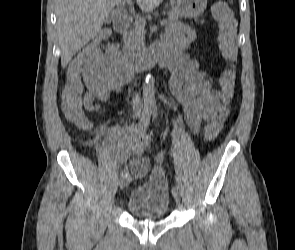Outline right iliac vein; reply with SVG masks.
Returning a JSON list of instances; mask_svg holds the SVG:
<instances>
[{"label":"right iliac vein","instance_id":"obj_1","mask_svg":"<svg viewBox=\"0 0 295 250\" xmlns=\"http://www.w3.org/2000/svg\"><path fill=\"white\" fill-rule=\"evenodd\" d=\"M130 181H131V178L129 175L123 176L119 182L120 189L121 190L125 189L129 185Z\"/></svg>","mask_w":295,"mask_h":250}]
</instances>
